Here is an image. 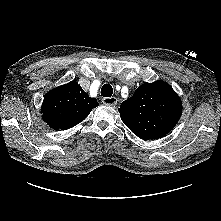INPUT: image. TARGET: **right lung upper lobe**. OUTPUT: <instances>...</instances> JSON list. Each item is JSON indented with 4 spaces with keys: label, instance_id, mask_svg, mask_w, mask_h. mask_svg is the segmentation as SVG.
Listing matches in <instances>:
<instances>
[{
    "label": "right lung upper lobe",
    "instance_id": "right-lung-upper-lobe-1",
    "mask_svg": "<svg viewBox=\"0 0 221 221\" xmlns=\"http://www.w3.org/2000/svg\"><path fill=\"white\" fill-rule=\"evenodd\" d=\"M99 103L77 82L71 81L49 91L42 104V118L54 130L69 129L83 121Z\"/></svg>",
    "mask_w": 221,
    "mask_h": 221
}]
</instances>
